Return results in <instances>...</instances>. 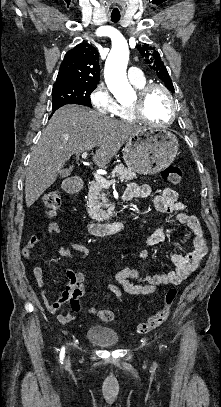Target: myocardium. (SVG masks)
I'll return each mask as SVG.
<instances>
[{"mask_svg": "<svg viewBox=\"0 0 221 407\" xmlns=\"http://www.w3.org/2000/svg\"><path fill=\"white\" fill-rule=\"evenodd\" d=\"M155 89H159L165 93V95L170 103V107H171V114H170L169 120L163 124H155L153 121H151L146 116L145 110H144L145 103H146V100H147L149 94ZM131 110H132V113H133L134 117L136 118V120L143 122L147 125H151V126H155V127H159V128H167L170 125H172L173 122L175 121L176 113H177V106H176V102L174 100L172 93L166 86L159 84V83H150V84H146L145 86H143L142 88H140L138 90L136 98H135L134 102L131 104Z\"/></svg>", "mask_w": 221, "mask_h": 407, "instance_id": "1", "label": "myocardium"}]
</instances>
